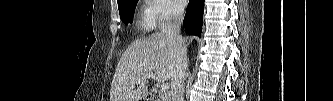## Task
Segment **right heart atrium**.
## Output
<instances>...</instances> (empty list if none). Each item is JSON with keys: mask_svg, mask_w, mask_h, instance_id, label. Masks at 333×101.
I'll return each instance as SVG.
<instances>
[{"mask_svg": "<svg viewBox=\"0 0 333 101\" xmlns=\"http://www.w3.org/2000/svg\"><path fill=\"white\" fill-rule=\"evenodd\" d=\"M179 10L170 0H149L145 17L147 26L156 28L167 25L179 19Z\"/></svg>", "mask_w": 333, "mask_h": 101, "instance_id": "1", "label": "right heart atrium"}]
</instances>
